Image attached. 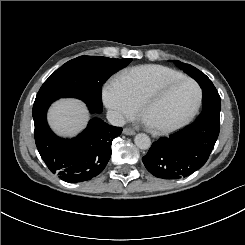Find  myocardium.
Segmentation results:
<instances>
[{
	"mask_svg": "<svg viewBox=\"0 0 245 245\" xmlns=\"http://www.w3.org/2000/svg\"><path fill=\"white\" fill-rule=\"evenodd\" d=\"M180 81H186L188 83H190L194 89H195V101L193 106L191 107V109L188 111V113L181 118L178 121L175 122H170V123H164V124H149L146 123L147 126L158 133H168L174 130H177L183 126H185L186 124H188L191 119L194 117V115L196 114V112L198 111L201 101H202V90L200 88V86L198 85V83L187 76H179V77H173V78H167V79H161V80H157L152 82L151 84H149L141 93L139 101H138V110L139 112L144 115L145 113V109H146V104L147 101L149 99V97L158 89H160L161 87H166V86H171L173 84H175L176 82H180Z\"/></svg>",
	"mask_w": 245,
	"mask_h": 245,
	"instance_id": "f54148a6",
	"label": "myocardium"
}]
</instances>
